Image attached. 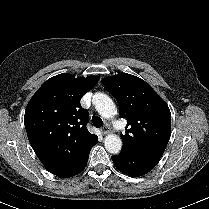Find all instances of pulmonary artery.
Returning a JSON list of instances; mask_svg holds the SVG:
<instances>
[{
  "label": "pulmonary artery",
  "instance_id": "obj_1",
  "mask_svg": "<svg viewBox=\"0 0 209 209\" xmlns=\"http://www.w3.org/2000/svg\"><path fill=\"white\" fill-rule=\"evenodd\" d=\"M115 129H116L117 131H120V130H121V128H120V126H119V123H118V122H116V124H115Z\"/></svg>",
  "mask_w": 209,
  "mask_h": 209
}]
</instances>
